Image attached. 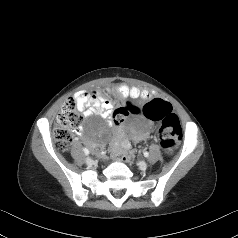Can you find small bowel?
Here are the masks:
<instances>
[{
    "instance_id": "1",
    "label": "small bowel",
    "mask_w": 238,
    "mask_h": 238,
    "mask_svg": "<svg viewBox=\"0 0 238 238\" xmlns=\"http://www.w3.org/2000/svg\"><path fill=\"white\" fill-rule=\"evenodd\" d=\"M75 100L78 103L79 108L81 109L84 118H88L92 115H99L103 118L109 117L112 109L113 103L108 98L100 96L97 92H79L75 96ZM143 136H138L136 139L140 140ZM120 144L125 147H130L129 138L122 136L119 139Z\"/></svg>"
}]
</instances>
